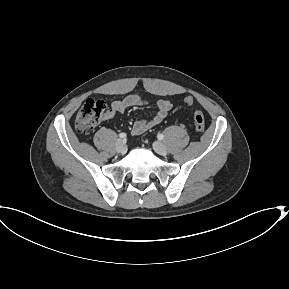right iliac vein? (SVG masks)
Segmentation results:
<instances>
[{"mask_svg": "<svg viewBox=\"0 0 289 289\" xmlns=\"http://www.w3.org/2000/svg\"><path fill=\"white\" fill-rule=\"evenodd\" d=\"M126 150L125 142L122 139H118L116 142V151L118 153H124Z\"/></svg>", "mask_w": 289, "mask_h": 289, "instance_id": "63e3f726", "label": "right iliac vein"}]
</instances>
